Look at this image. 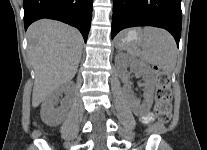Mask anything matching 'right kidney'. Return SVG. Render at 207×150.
Here are the masks:
<instances>
[{
  "mask_svg": "<svg viewBox=\"0 0 207 150\" xmlns=\"http://www.w3.org/2000/svg\"><path fill=\"white\" fill-rule=\"evenodd\" d=\"M69 92L67 85H61L53 90L43 101L41 106V118L49 126H57L63 122L69 110V103L64 102L61 106L55 108L59 96Z\"/></svg>",
  "mask_w": 207,
  "mask_h": 150,
  "instance_id": "obj_1",
  "label": "right kidney"
}]
</instances>
